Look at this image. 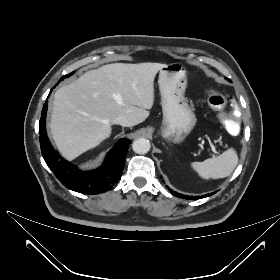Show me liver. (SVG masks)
Masks as SVG:
<instances>
[{
  "mask_svg": "<svg viewBox=\"0 0 280 280\" xmlns=\"http://www.w3.org/2000/svg\"><path fill=\"white\" fill-rule=\"evenodd\" d=\"M166 64L112 63L84 73L55 92L50 130L61 154L74 159L110 137L112 121H145L154 103V79Z\"/></svg>",
  "mask_w": 280,
  "mask_h": 280,
  "instance_id": "liver-1",
  "label": "liver"
}]
</instances>
